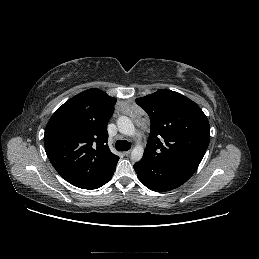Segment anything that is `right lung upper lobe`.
I'll use <instances>...</instances> for the list:
<instances>
[{"mask_svg": "<svg viewBox=\"0 0 259 259\" xmlns=\"http://www.w3.org/2000/svg\"><path fill=\"white\" fill-rule=\"evenodd\" d=\"M116 99L99 89L81 92L59 107L44 133L46 154L56 171L76 187L90 185L116 168L107 124Z\"/></svg>", "mask_w": 259, "mask_h": 259, "instance_id": "right-lung-upper-lobe-1", "label": "right lung upper lobe"}]
</instances>
